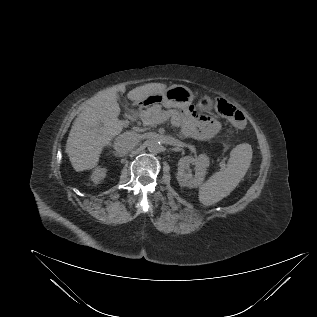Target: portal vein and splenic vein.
<instances>
[{
    "mask_svg": "<svg viewBox=\"0 0 317 317\" xmlns=\"http://www.w3.org/2000/svg\"><path fill=\"white\" fill-rule=\"evenodd\" d=\"M164 120H165V118H164V116L162 115V114H160V115H157L156 117H155V119L153 120V124H161V123H163L164 122Z\"/></svg>",
    "mask_w": 317,
    "mask_h": 317,
    "instance_id": "18ae733b",
    "label": "portal vein and splenic vein"
}]
</instances>
